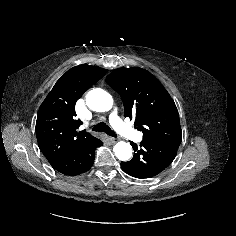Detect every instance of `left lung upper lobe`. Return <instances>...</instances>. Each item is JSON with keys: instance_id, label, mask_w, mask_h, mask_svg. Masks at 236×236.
<instances>
[{"instance_id": "5c2ea615", "label": "left lung upper lobe", "mask_w": 236, "mask_h": 236, "mask_svg": "<svg viewBox=\"0 0 236 236\" xmlns=\"http://www.w3.org/2000/svg\"><path fill=\"white\" fill-rule=\"evenodd\" d=\"M106 82L120 94L125 117L135 118V128L143 132L144 141L181 140L176 105L149 71L139 67L118 68Z\"/></svg>"}]
</instances>
